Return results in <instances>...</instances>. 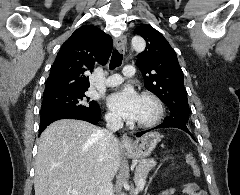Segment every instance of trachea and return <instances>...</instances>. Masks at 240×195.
<instances>
[{
    "mask_svg": "<svg viewBox=\"0 0 240 195\" xmlns=\"http://www.w3.org/2000/svg\"><path fill=\"white\" fill-rule=\"evenodd\" d=\"M123 55L118 50H114L110 60V69L113 70L116 67H120L122 64Z\"/></svg>",
    "mask_w": 240,
    "mask_h": 195,
    "instance_id": "3493384b",
    "label": "trachea"
}]
</instances>
